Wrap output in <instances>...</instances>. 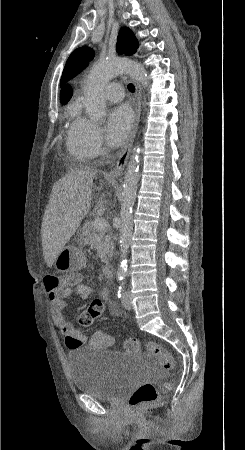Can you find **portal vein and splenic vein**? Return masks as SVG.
Listing matches in <instances>:
<instances>
[{
	"mask_svg": "<svg viewBox=\"0 0 245 450\" xmlns=\"http://www.w3.org/2000/svg\"><path fill=\"white\" fill-rule=\"evenodd\" d=\"M93 225L97 230H102L107 227V221L102 217L96 218L93 222Z\"/></svg>",
	"mask_w": 245,
	"mask_h": 450,
	"instance_id": "obj_1",
	"label": "portal vein and splenic vein"
}]
</instances>
